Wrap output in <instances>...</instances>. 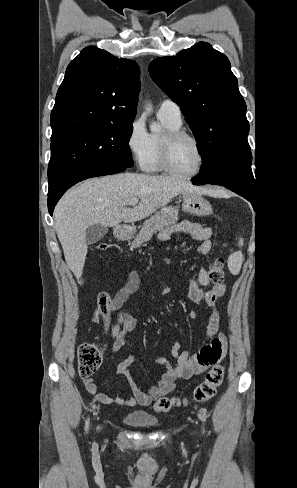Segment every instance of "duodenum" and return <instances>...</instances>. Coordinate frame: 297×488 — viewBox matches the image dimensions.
Instances as JSON below:
<instances>
[{
    "label": "duodenum",
    "instance_id": "obj_1",
    "mask_svg": "<svg viewBox=\"0 0 297 488\" xmlns=\"http://www.w3.org/2000/svg\"><path fill=\"white\" fill-rule=\"evenodd\" d=\"M115 235L119 240H127L130 237V229L127 226L119 225L115 228Z\"/></svg>",
    "mask_w": 297,
    "mask_h": 488
}]
</instances>
